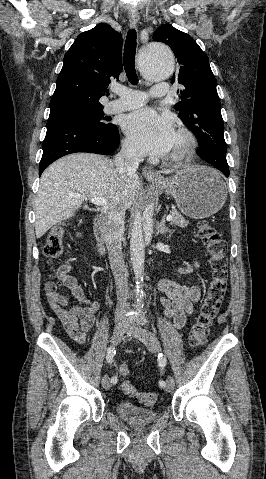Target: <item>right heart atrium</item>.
I'll use <instances>...</instances> for the list:
<instances>
[{
  "label": "right heart atrium",
  "mask_w": 266,
  "mask_h": 479,
  "mask_svg": "<svg viewBox=\"0 0 266 479\" xmlns=\"http://www.w3.org/2000/svg\"><path fill=\"white\" fill-rule=\"evenodd\" d=\"M123 151L124 153L132 158H137L139 156L137 150L135 149L134 145L128 139L123 141Z\"/></svg>",
  "instance_id": "d8ad5b80"
}]
</instances>
